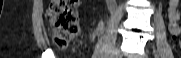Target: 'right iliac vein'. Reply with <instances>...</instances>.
Wrapping results in <instances>:
<instances>
[{
	"label": "right iliac vein",
	"instance_id": "63e3f726",
	"mask_svg": "<svg viewBox=\"0 0 181 58\" xmlns=\"http://www.w3.org/2000/svg\"><path fill=\"white\" fill-rule=\"evenodd\" d=\"M121 56V52L119 48H116L114 53H113V57L112 58H120Z\"/></svg>",
	"mask_w": 181,
	"mask_h": 58
}]
</instances>
